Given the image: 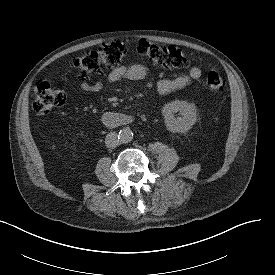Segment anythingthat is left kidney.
<instances>
[{"label": "left kidney", "instance_id": "5707ae66", "mask_svg": "<svg viewBox=\"0 0 275 275\" xmlns=\"http://www.w3.org/2000/svg\"><path fill=\"white\" fill-rule=\"evenodd\" d=\"M163 115L168 130L177 133L187 132L196 122V110L193 104L185 101H173L163 107ZM179 112L182 117H175Z\"/></svg>", "mask_w": 275, "mask_h": 275}]
</instances>
